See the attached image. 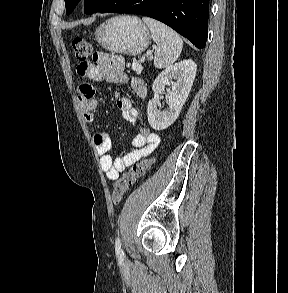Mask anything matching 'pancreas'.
<instances>
[{
  "mask_svg": "<svg viewBox=\"0 0 288 293\" xmlns=\"http://www.w3.org/2000/svg\"><path fill=\"white\" fill-rule=\"evenodd\" d=\"M133 64H140V63H139V62H137V61H134V62H133Z\"/></svg>",
  "mask_w": 288,
  "mask_h": 293,
  "instance_id": "pancreas-1",
  "label": "pancreas"
}]
</instances>
